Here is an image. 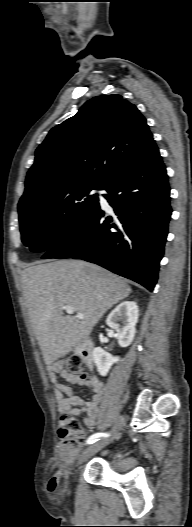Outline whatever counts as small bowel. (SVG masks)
Returning a JSON list of instances; mask_svg holds the SVG:
<instances>
[{"label": "small bowel", "instance_id": "obj_1", "mask_svg": "<svg viewBox=\"0 0 192 527\" xmlns=\"http://www.w3.org/2000/svg\"><path fill=\"white\" fill-rule=\"evenodd\" d=\"M58 376L64 378L68 384L85 387L93 392L90 401H85L76 395L70 385L58 381ZM49 377L57 390L58 407L62 413L79 416L84 414V423L87 427L93 428L96 425V418L104 394V385L97 377L80 379L77 376L66 372L59 365L49 367ZM65 396V397H64Z\"/></svg>", "mask_w": 192, "mask_h": 527}]
</instances>
